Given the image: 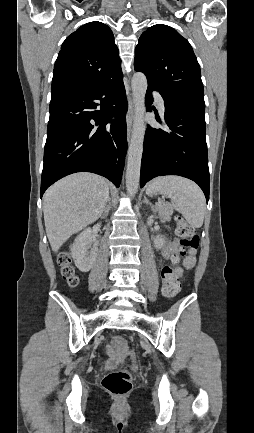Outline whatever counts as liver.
<instances>
[{
  "label": "liver",
  "instance_id": "liver-1",
  "mask_svg": "<svg viewBox=\"0 0 254 433\" xmlns=\"http://www.w3.org/2000/svg\"><path fill=\"white\" fill-rule=\"evenodd\" d=\"M109 199L105 178L92 173L69 175L45 193L43 212L46 234L53 252H58L73 234L95 222Z\"/></svg>",
  "mask_w": 254,
  "mask_h": 433
}]
</instances>
